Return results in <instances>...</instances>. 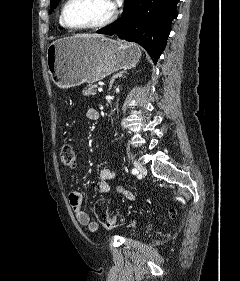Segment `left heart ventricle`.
I'll return each mask as SVG.
<instances>
[{
  "label": "left heart ventricle",
  "instance_id": "obj_1",
  "mask_svg": "<svg viewBox=\"0 0 240 281\" xmlns=\"http://www.w3.org/2000/svg\"><path fill=\"white\" fill-rule=\"evenodd\" d=\"M113 10L112 0H72L66 17L73 25H87L107 18Z\"/></svg>",
  "mask_w": 240,
  "mask_h": 281
}]
</instances>
